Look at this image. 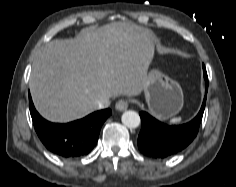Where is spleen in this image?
Masks as SVG:
<instances>
[{
    "instance_id": "3e777b00",
    "label": "spleen",
    "mask_w": 236,
    "mask_h": 187,
    "mask_svg": "<svg viewBox=\"0 0 236 187\" xmlns=\"http://www.w3.org/2000/svg\"><path fill=\"white\" fill-rule=\"evenodd\" d=\"M182 122V119L180 118V117H178V118H172L171 120H170V124H180Z\"/></svg>"
}]
</instances>
